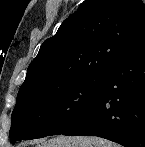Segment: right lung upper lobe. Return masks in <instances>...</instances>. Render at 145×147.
<instances>
[{"instance_id": "cb5924a9", "label": "right lung upper lobe", "mask_w": 145, "mask_h": 147, "mask_svg": "<svg viewBox=\"0 0 145 147\" xmlns=\"http://www.w3.org/2000/svg\"><path fill=\"white\" fill-rule=\"evenodd\" d=\"M144 38L141 0H85L41 45L18 95L50 92L102 74Z\"/></svg>"}]
</instances>
